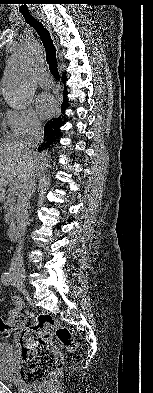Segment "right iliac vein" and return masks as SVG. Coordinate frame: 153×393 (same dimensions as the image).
<instances>
[{"label":"right iliac vein","instance_id":"right-iliac-vein-1","mask_svg":"<svg viewBox=\"0 0 153 393\" xmlns=\"http://www.w3.org/2000/svg\"><path fill=\"white\" fill-rule=\"evenodd\" d=\"M15 279H16V282L18 284H20V285H24L25 284V279H24V277L22 275L15 274Z\"/></svg>","mask_w":153,"mask_h":393}]
</instances>
